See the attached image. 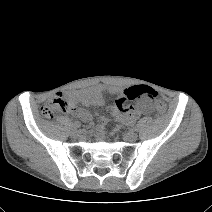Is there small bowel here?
<instances>
[{"instance_id": "small-bowel-1", "label": "small bowel", "mask_w": 212, "mask_h": 212, "mask_svg": "<svg viewBox=\"0 0 212 212\" xmlns=\"http://www.w3.org/2000/svg\"><path fill=\"white\" fill-rule=\"evenodd\" d=\"M104 93H109L116 96L114 104L108 107V112L121 124L131 125L141 115L148 114L151 111L149 102L145 100H140L135 105H127L126 90H122L116 86L97 84L82 91L69 94L68 99L72 107L73 116L84 122H89L91 120V114L86 110L78 108L76 105L82 104L84 106H103ZM57 96L62 97L61 94H58ZM106 124L107 119L105 117H101L98 125V131L100 133L104 132Z\"/></svg>"}]
</instances>
